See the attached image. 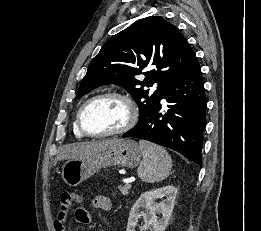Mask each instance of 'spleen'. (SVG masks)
<instances>
[{"label": "spleen", "mask_w": 261, "mask_h": 231, "mask_svg": "<svg viewBox=\"0 0 261 231\" xmlns=\"http://www.w3.org/2000/svg\"><path fill=\"white\" fill-rule=\"evenodd\" d=\"M139 146L143 155V160L137 170L139 178L147 183L166 179L172 167V159L168 152L164 148L144 140L139 141Z\"/></svg>", "instance_id": "3e777b00"}]
</instances>
